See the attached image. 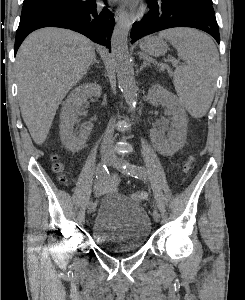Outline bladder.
Returning <instances> with one entry per match:
<instances>
[{"mask_svg": "<svg viewBox=\"0 0 245 300\" xmlns=\"http://www.w3.org/2000/svg\"><path fill=\"white\" fill-rule=\"evenodd\" d=\"M151 228L143 207L123 194L111 192L102 198L91 224V236L110 251L132 252L146 244Z\"/></svg>", "mask_w": 245, "mask_h": 300, "instance_id": "1", "label": "bladder"}]
</instances>
